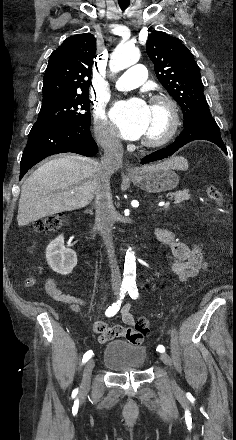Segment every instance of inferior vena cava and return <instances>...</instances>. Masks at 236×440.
<instances>
[{
    "mask_svg": "<svg viewBox=\"0 0 236 440\" xmlns=\"http://www.w3.org/2000/svg\"><path fill=\"white\" fill-rule=\"evenodd\" d=\"M100 142L104 149L100 181L95 192L96 223L107 248L111 268V285L113 289H119L121 274L115 257L113 246V213L114 207L110 190V177L122 165L123 146L115 135L104 132L100 136Z\"/></svg>",
    "mask_w": 236,
    "mask_h": 440,
    "instance_id": "1",
    "label": "inferior vena cava"
}]
</instances>
